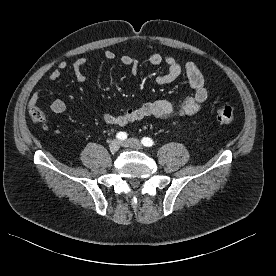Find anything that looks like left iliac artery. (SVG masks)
I'll list each match as a JSON object with an SVG mask.
<instances>
[{
	"instance_id": "1",
	"label": "left iliac artery",
	"mask_w": 276,
	"mask_h": 276,
	"mask_svg": "<svg viewBox=\"0 0 276 276\" xmlns=\"http://www.w3.org/2000/svg\"><path fill=\"white\" fill-rule=\"evenodd\" d=\"M141 143L145 147H151L154 144L153 140L149 137H143L142 140H141Z\"/></svg>"
}]
</instances>
